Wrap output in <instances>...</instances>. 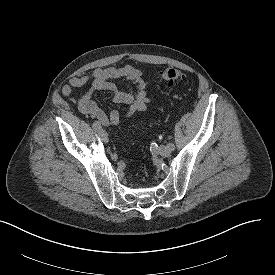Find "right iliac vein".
Returning a JSON list of instances; mask_svg holds the SVG:
<instances>
[{"mask_svg": "<svg viewBox=\"0 0 275 275\" xmlns=\"http://www.w3.org/2000/svg\"><path fill=\"white\" fill-rule=\"evenodd\" d=\"M98 135L103 142L108 143L109 139H108V135L105 130H103V129L98 130Z\"/></svg>", "mask_w": 275, "mask_h": 275, "instance_id": "obj_1", "label": "right iliac vein"}]
</instances>
